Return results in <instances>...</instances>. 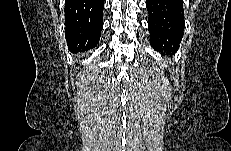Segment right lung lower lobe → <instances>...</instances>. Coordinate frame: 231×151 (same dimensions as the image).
<instances>
[{"mask_svg":"<svg viewBox=\"0 0 231 151\" xmlns=\"http://www.w3.org/2000/svg\"><path fill=\"white\" fill-rule=\"evenodd\" d=\"M104 0H66L65 29L72 53L87 51L99 42L103 25Z\"/></svg>","mask_w":231,"mask_h":151,"instance_id":"right-lung-lower-lobe-1","label":"right lung lower lobe"}]
</instances>
